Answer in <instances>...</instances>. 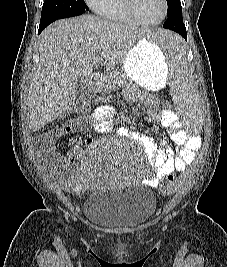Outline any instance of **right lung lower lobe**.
I'll list each match as a JSON object with an SVG mask.
<instances>
[{
	"label": "right lung lower lobe",
	"instance_id": "98d812e1",
	"mask_svg": "<svg viewBox=\"0 0 227 267\" xmlns=\"http://www.w3.org/2000/svg\"><path fill=\"white\" fill-rule=\"evenodd\" d=\"M84 12H79V13H64V14H57V15H45L41 16L40 20V25H39V30L38 34H40L44 28H46L50 23L62 19V18H69V17H74L83 14Z\"/></svg>",
	"mask_w": 227,
	"mask_h": 267
}]
</instances>
